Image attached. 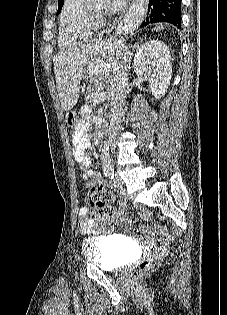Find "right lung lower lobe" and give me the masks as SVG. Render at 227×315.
<instances>
[{"label":"right lung lower lobe","instance_id":"right-lung-lower-lobe-1","mask_svg":"<svg viewBox=\"0 0 227 315\" xmlns=\"http://www.w3.org/2000/svg\"><path fill=\"white\" fill-rule=\"evenodd\" d=\"M181 0H149L148 14L142 26L155 22H169L180 28Z\"/></svg>","mask_w":227,"mask_h":315}]
</instances>
